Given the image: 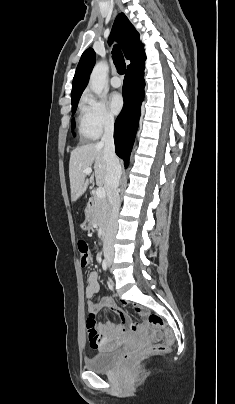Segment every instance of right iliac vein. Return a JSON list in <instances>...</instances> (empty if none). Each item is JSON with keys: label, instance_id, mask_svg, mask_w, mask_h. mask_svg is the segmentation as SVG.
Masks as SVG:
<instances>
[{"label": "right iliac vein", "instance_id": "obj_1", "mask_svg": "<svg viewBox=\"0 0 235 404\" xmlns=\"http://www.w3.org/2000/svg\"><path fill=\"white\" fill-rule=\"evenodd\" d=\"M107 259H108V261H110V258H109V257H107Z\"/></svg>", "mask_w": 235, "mask_h": 404}]
</instances>
